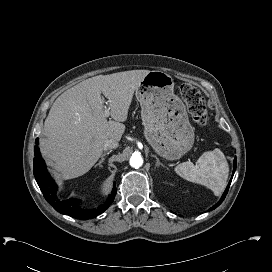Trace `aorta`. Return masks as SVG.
I'll use <instances>...</instances> for the list:
<instances>
[{"instance_id":"1","label":"aorta","mask_w":272,"mask_h":272,"mask_svg":"<svg viewBox=\"0 0 272 272\" xmlns=\"http://www.w3.org/2000/svg\"><path fill=\"white\" fill-rule=\"evenodd\" d=\"M131 167L133 168H139L143 164V158L140 154H133L129 161Z\"/></svg>"}]
</instances>
